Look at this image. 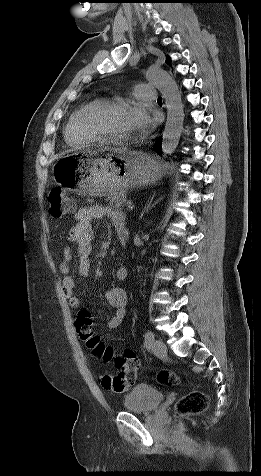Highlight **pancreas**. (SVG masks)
Here are the masks:
<instances>
[{
	"label": "pancreas",
	"instance_id": "cf45deb5",
	"mask_svg": "<svg viewBox=\"0 0 261 476\" xmlns=\"http://www.w3.org/2000/svg\"><path fill=\"white\" fill-rule=\"evenodd\" d=\"M109 201L113 207L122 210L126 203V197L122 195L112 196L109 198Z\"/></svg>",
	"mask_w": 261,
	"mask_h": 476
}]
</instances>
